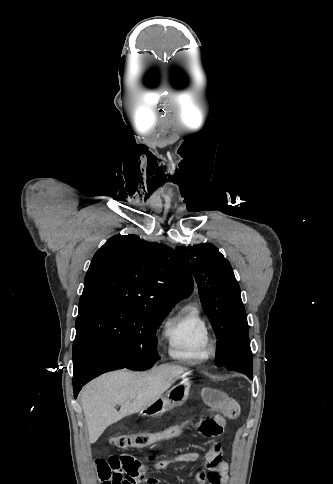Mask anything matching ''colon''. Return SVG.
I'll use <instances>...</instances> for the list:
<instances>
[{
    "instance_id": "5ec220e1",
    "label": "colon",
    "mask_w": 333,
    "mask_h": 484,
    "mask_svg": "<svg viewBox=\"0 0 333 484\" xmlns=\"http://www.w3.org/2000/svg\"><path fill=\"white\" fill-rule=\"evenodd\" d=\"M204 419L203 416L188 417L159 432L115 436L111 439V443L120 448H129L143 447L156 442L173 440L189 432L198 422ZM97 471L101 484L112 483L110 475L105 468L97 465Z\"/></svg>"
}]
</instances>
